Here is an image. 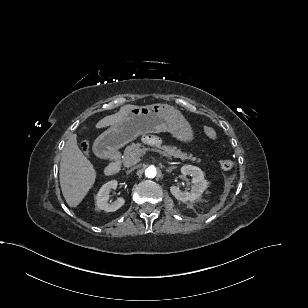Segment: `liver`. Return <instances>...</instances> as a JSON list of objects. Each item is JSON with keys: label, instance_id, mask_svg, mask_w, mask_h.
I'll list each match as a JSON object with an SVG mask.
<instances>
[{"label": "liver", "instance_id": "liver-1", "mask_svg": "<svg viewBox=\"0 0 308 308\" xmlns=\"http://www.w3.org/2000/svg\"><path fill=\"white\" fill-rule=\"evenodd\" d=\"M135 105H124L120 110L104 117L96 128H104L120 122ZM83 129H86L84 127ZM77 135L73 134L65 144L60 162L59 178L63 196L70 207H76L93 186L96 171L77 145Z\"/></svg>", "mask_w": 308, "mask_h": 308}]
</instances>
